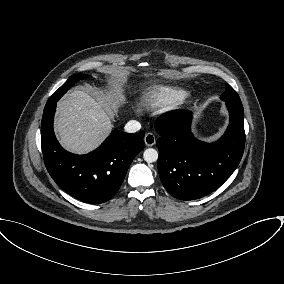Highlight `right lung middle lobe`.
Segmentation results:
<instances>
[{
  "label": "right lung middle lobe",
  "instance_id": "1",
  "mask_svg": "<svg viewBox=\"0 0 284 284\" xmlns=\"http://www.w3.org/2000/svg\"><path fill=\"white\" fill-rule=\"evenodd\" d=\"M85 77L86 75L83 74H74L70 76L68 80L57 91H55L53 95L48 99L45 107L51 105L53 102H57L60 99V97H62L63 94H65L74 83H76L79 80H82Z\"/></svg>",
  "mask_w": 284,
  "mask_h": 284
}]
</instances>
